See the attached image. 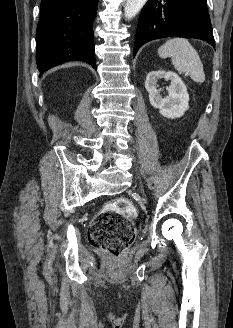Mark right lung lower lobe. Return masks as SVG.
<instances>
[{"mask_svg":"<svg viewBox=\"0 0 233 328\" xmlns=\"http://www.w3.org/2000/svg\"><path fill=\"white\" fill-rule=\"evenodd\" d=\"M98 0H42L36 32L40 75L61 63L82 60L96 69L92 23Z\"/></svg>","mask_w":233,"mask_h":328,"instance_id":"obj_1","label":"right lung lower lobe"}]
</instances>
